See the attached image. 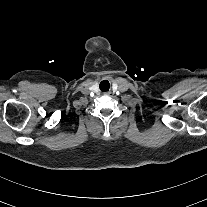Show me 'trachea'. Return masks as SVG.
<instances>
[{
	"mask_svg": "<svg viewBox=\"0 0 207 207\" xmlns=\"http://www.w3.org/2000/svg\"><path fill=\"white\" fill-rule=\"evenodd\" d=\"M109 88H110V84H109V82H108L107 80H104V81H102V82L100 83V90H101L102 92L108 91Z\"/></svg>",
	"mask_w": 207,
	"mask_h": 207,
	"instance_id": "trachea-1",
	"label": "trachea"
}]
</instances>
